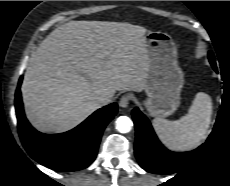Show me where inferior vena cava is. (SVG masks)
Segmentation results:
<instances>
[{
  "mask_svg": "<svg viewBox=\"0 0 230 186\" xmlns=\"http://www.w3.org/2000/svg\"><path fill=\"white\" fill-rule=\"evenodd\" d=\"M111 98L107 95H100L97 97V101L100 105H106L110 102Z\"/></svg>",
  "mask_w": 230,
  "mask_h": 186,
  "instance_id": "inferior-vena-cava-1",
  "label": "inferior vena cava"
}]
</instances>
